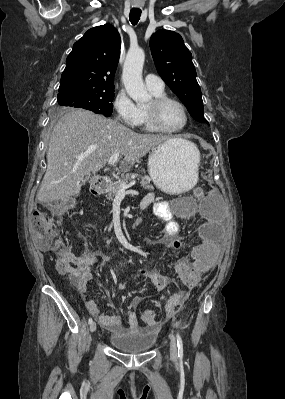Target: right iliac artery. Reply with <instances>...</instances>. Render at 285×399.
<instances>
[{"label": "right iliac artery", "mask_w": 285, "mask_h": 399, "mask_svg": "<svg viewBox=\"0 0 285 399\" xmlns=\"http://www.w3.org/2000/svg\"><path fill=\"white\" fill-rule=\"evenodd\" d=\"M93 322L92 318H89L88 323L91 324Z\"/></svg>", "instance_id": "right-iliac-artery-1"}]
</instances>
